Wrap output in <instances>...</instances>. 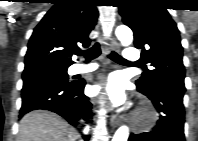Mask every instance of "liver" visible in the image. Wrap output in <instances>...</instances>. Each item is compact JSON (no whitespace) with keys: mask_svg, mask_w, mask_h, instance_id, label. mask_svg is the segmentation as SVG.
<instances>
[{"mask_svg":"<svg viewBox=\"0 0 198 141\" xmlns=\"http://www.w3.org/2000/svg\"><path fill=\"white\" fill-rule=\"evenodd\" d=\"M77 131L55 113L36 110L20 121L17 141H76Z\"/></svg>","mask_w":198,"mask_h":141,"instance_id":"liver-1","label":"liver"}]
</instances>
